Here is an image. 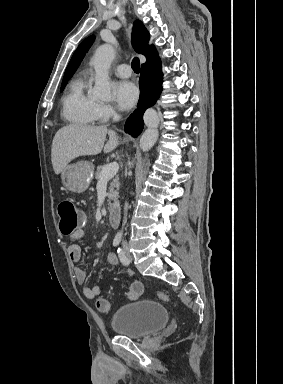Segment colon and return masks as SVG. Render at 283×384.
I'll return each mask as SVG.
<instances>
[{
	"label": "colon",
	"instance_id": "5ec220e1",
	"mask_svg": "<svg viewBox=\"0 0 283 384\" xmlns=\"http://www.w3.org/2000/svg\"><path fill=\"white\" fill-rule=\"evenodd\" d=\"M58 214L60 218V229L63 234L70 235L79 229L85 221L84 214L77 208L75 203L70 199L62 200L58 205ZM143 289L138 284H133L129 291L128 297L136 299L142 294ZM158 297L168 302L169 297L163 292H158ZM97 308L102 313L110 311V303L108 300L100 298L97 300Z\"/></svg>",
	"mask_w": 283,
	"mask_h": 384
}]
</instances>
